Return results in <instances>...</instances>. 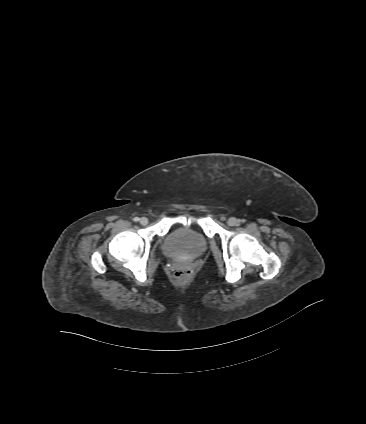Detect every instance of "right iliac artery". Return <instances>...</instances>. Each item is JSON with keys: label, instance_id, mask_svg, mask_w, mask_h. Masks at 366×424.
<instances>
[{"label": "right iliac artery", "instance_id": "right-iliac-artery-1", "mask_svg": "<svg viewBox=\"0 0 366 424\" xmlns=\"http://www.w3.org/2000/svg\"><path fill=\"white\" fill-rule=\"evenodd\" d=\"M139 220H140L139 217L133 218V221H135V222H138Z\"/></svg>", "mask_w": 366, "mask_h": 424}]
</instances>
